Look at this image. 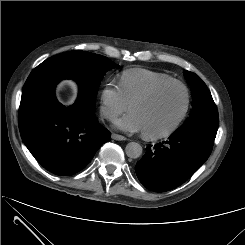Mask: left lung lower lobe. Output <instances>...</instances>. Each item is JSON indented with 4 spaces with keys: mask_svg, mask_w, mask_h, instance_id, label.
Returning <instances> with one entry per match:
<instances>
[{
    "mask_svg": "<svg viewBox=\"0 0 245 245\" xmlns=\"http://www.w3.org/2000/svg\"><path fill=\"white\" fill-rule=\"evenodd\" d=\"M214 139L199 132L173 133L168 141L147 147L136 164L138 179L155 192L180 186L208 159Z\"/></svg>",
    "mask_w": 245,
    "mask_h": 245,
    "instance_id": "left-lung-lower-lobe-1",
    "label": "left lung lower lobe"
}]
</instances>
